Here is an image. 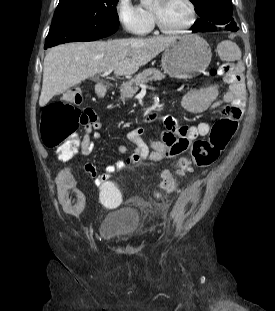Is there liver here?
<instances>
[{
  "instance_id": "liver-1",
  "label": "liver",
  "mask_w": 275,
  "mask_h": 311,
  "mask_svg": "<svg viewBox=\"0 0 275 311\" xmlns=\"http://www.w3.org/2000/svg\"><path fill=\"white\" fill-rule=\"evenodd\" d=\"M176 38H130L54 47L44 59L39 105L45 106L54 96L101 72L113 70L115 75H132Z\"/></svg>"
}]
</instances>
